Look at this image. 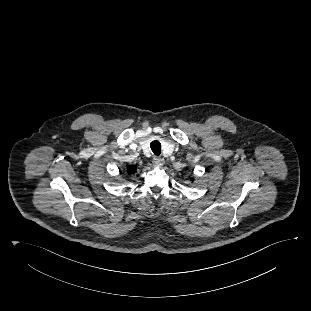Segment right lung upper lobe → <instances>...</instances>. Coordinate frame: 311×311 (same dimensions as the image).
<instances>
[{
    "label": "right lung upper lobe",
    "mask_w": 311,
    "mask_h": 311,
    "mask_svg": "<svg viewBox=\"0 0 311 311\" xmlns=\"http://www.w3.org/2000/svg\"><path fill=\"white\" fill-rule=\"evenodd\" d=\"M136 166L134 165V166H128L127 167V173L128 174H132V173H134L135 171H136Z\"/></svg>",
    "instance_id": "obj_1"
}]
</instances>
